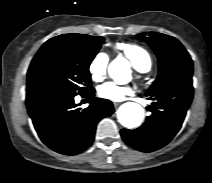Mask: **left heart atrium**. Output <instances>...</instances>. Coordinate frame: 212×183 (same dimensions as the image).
Masks as SVG:
<instances>
[{
  "instance_id": "left-heart-atrium-1",
  "label": "left heart atrium",
  "mask_w": 212,
  "mask_h": 183,
  "mask_svg": "<svg viewBox=\"0 0 212 183\" xmlns=\"http://www.w3.org/2000/svg\"><path fill=\"white\" fill-rule=\"evenodd\" d=\"M97 92L101 98L112 101H121L126 96L131 95L133 89L128 86L117 85L113 82H106L98 87Z\"/></svg>"
}]
</instances>
